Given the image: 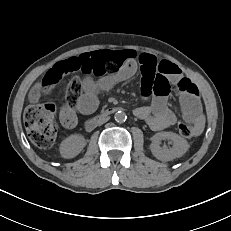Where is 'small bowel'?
I'll return each mask as SVG.
<instances>
[{"label": "small bowel", "mask_w": 231, "mask_h": 231, "mask_svg": "<svg viewBox=\"0 0 231 231\" xmlns=\"http://www.w3.org/2000/svg\"><path fill=\"white\" fill-rule=\"evenodd\" d=\"M138 69L143 100L153 98L150 104L137 107L135 116L154 131L169 128L176 123L177 117L167 106V95L157 93L156 80L160 78L171 87L183 77L180 68L170 61L126 49L92 51L55 64L44 79L60 81L65 74H76L69 83L66 101L60 109L61 123L65 128L72 129L78 123L77 112L89 114L94 111L99 92L128 80ZM181 106L186 120L194 124L196 134H199L205 123L200 100L197 96L181 93Z\"/></svg>", "instance_id": "small-bowel-1"}]
</instances>
